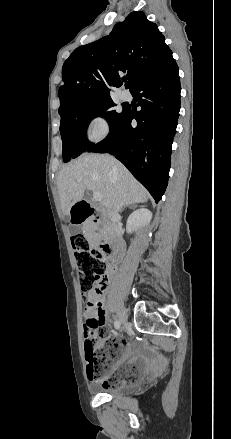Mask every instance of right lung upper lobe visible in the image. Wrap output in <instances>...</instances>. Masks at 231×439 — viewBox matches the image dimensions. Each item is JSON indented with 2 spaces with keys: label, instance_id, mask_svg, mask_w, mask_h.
I'll return each mask as SVG.
<instances>
[{
  "label": "right lung upper lobe",
  "instance_id": "right-lung-upper-lobe-1",
  "mask_svg": "<svg viewBox=\"0 0 231 439\" xmlns=\"http://www.w3.org/2000/svg\"><path fill=\"white\" fill-rule=\"evenodd\" d=\"M172 51L155 23L144 12L134 11L112 32L98 41L75 49L62 68L59 113L89 100L108 98L122 84L119 73L128 72L126 88L159 70Z\"/></svg>",
  "mask_w": 231,
  "mask_h": 439
}]
</instances>
